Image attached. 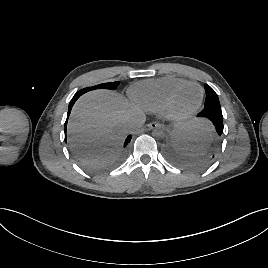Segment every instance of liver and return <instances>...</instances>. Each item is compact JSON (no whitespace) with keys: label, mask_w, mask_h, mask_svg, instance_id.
Returning a JSON list of instances; mask_svg holds the SVG:
<instances>
[{"label":"liver","mask_w":268,"mask_h":268,"mask_svg":"<svg viewBox=\"0 0 268 268\" xmlns=\"http://www.w3.org/2000/svg\"><path fill=\"white\" fill-rule=\"evenodd\" d=\"M141 113L112 91L95 90L75 103L68 122V140L85 152L107 151L103 161L113 157Z\"/></svg>","instance_id":"obj_1"}]
</instances>
